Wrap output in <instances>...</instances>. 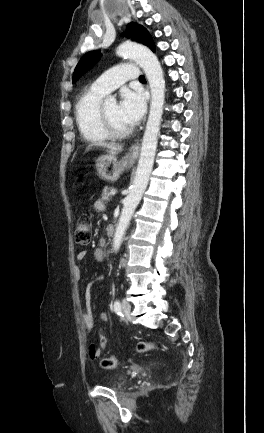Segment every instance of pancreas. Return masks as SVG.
Here are the masks:
<instances>
[{
    "instance_id": "1",
    "label": "pancreas",
    "mask_w": 264,
    "mask_h": 433,
    "mask_svg": "<svg viewBox=\"0 0 264 433\" xmlns=\"http://www.w3.org/2000/svg\"><path fill=\"white\" fill-rule=\"evenodd\" d=\"M111 190H114V188L105 186L103 189V192L101 194V200H103L105 202H109L111 197H112V195L110 194Z\"/></svg>"
}]
</instances>
